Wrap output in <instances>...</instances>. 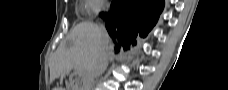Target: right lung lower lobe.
Here are the masks:
<instances>
[{"instance_id":"98d812e1","label":"right lung lower lobe","mask_w":228,"mask_h":90,"mask_svg":"<svg viewBox=\"0 0 228 90\" xmlns=\"http://www.w3.org/2000/svg\"><path fill=\"white\" fill-rule=\"evenodd\" d=\"M163 7V0H113L106 28L115 50H129L136 44L138 34L145 37L156 24Z\"/></svg>"}]
</instances>
